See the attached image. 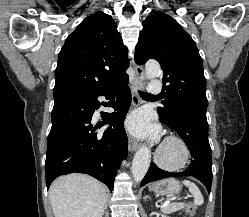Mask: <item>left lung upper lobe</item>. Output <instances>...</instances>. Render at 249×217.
I'll return each instance as SVG.
<instances>
[{
  "label": "left lung upper lobe",
  "mask_w": 249,
  "mask_h": 217,
  "mask_svg": "<svg viewBox=\"0 0 249 217\" xmlns=\"http://www.w3.org/2000/svg\"><path fill=\"white\" fill-rule=\"evenodd\" d=\"M156 59L163 70L165 100L158 107L160 120L173 124L182 111L206 113L203 62L192 37L171 16L154 13L143 21L135 49V62ZM165 83H167L165 87Z\"/></svg>",
  "instance_id": "1"
}]
</instances>
